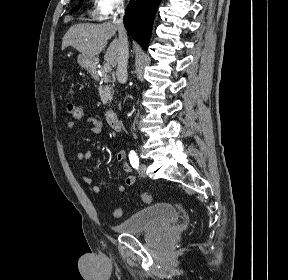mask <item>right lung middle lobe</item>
<instances>
[{"label":"right lung middle lobe","mask_w":288,"mask_h":280,"mask_svg":"<svg viewBox=\"0 0 288 280\" xmlns=\"http://www.w3.org/2000/svg\"><path fill=\"white\" fill-rule=\"evenodd\" d=\"M81 3H82V0H81V2L79 3V5H78L77 7L73 8V9L71 10V12L77 11L78 8L81 6Z\"/></svg>","instance_id":"1"}]
</instances>
